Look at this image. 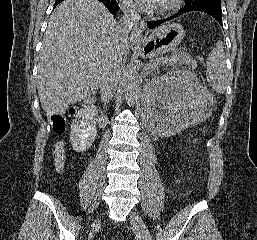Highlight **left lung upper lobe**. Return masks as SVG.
<instances>
[{
    "label": "left lung upper lobe",
    "instance_id": "5c2ea615",
    "mask_svg": "<svg viewBox=\"0 0 257 240\" xmlns=\"http://www.w3.org/2000/svg\"><path fill=\"white\" fill-rule=\"evenodd\" d=\"M221 5V0H185V7Z\"/></svg>",
    "mask_w": 257,
    "mask_h": 240
}]
</instances>
